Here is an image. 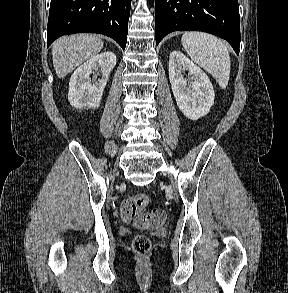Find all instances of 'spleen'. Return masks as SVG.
Segmentation results:
<instances>
[{"label":"spleen","mask_w":288,"mask_h":293,"mask_svg":"<svg viewBox=\"0 0 288 293\" xmlns=\"http://www.w3.org/2000/svg\"><path fill=\"white\" fill-rule=\"evenodd\" d=\"M181 41L190 58L208 71L221 88H226L230 77V55L226 45L213 35L201 32H186Z\"/></svg>","instance_id":"3e777b00"}]
</instances>
